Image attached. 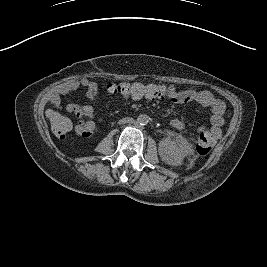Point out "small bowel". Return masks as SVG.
Returning a JSON list of instances; mask_svg holds the SVG:
<instances>
[{
    "mask_svg": "<svg viewBox=\"0 0 267 267\" xmlns=\"http://www.w3.org/2000/svg\"><path fill=\"white\" fill-rule=\"evenodd\" d=\"M79 88H83L86 91V97L90 100H96L99 96L98 85L96 82L82 79L79 82H73L69 84L65 89L64 93L73 92ZM174 97L171 99L172 103L175 104H186V103H195L203 107L209 108L211 115L209 118L210 128L208 131L200 129L199 132L207 133L215 143L221 137L222 131L221 127L224 124V113H225V104L215 97L211 92L206 90H195V89H185L177 90L174 93ZM61 95H57L53 103L54 105H59L61 102ZM65 110L69 113L80 112L83 123L77 125V131L82 134L86 130L92 131V134L96 131L97 126L93 121L94 109L90 105H78L70 103L65 107ZM56 112H49L50 117L55 115ZM170 125L177 130H183L185 128V122L182 119L174 118L170 121ZM83 135V134H82ZM86 136V135H85ZM90 136V135H88Z\"/></svg>",
    "mask_w": 267,
    "mask_h": 267,
    "instance_id": "obj_1",
    "label": "small bowel"
}]
</instances>
